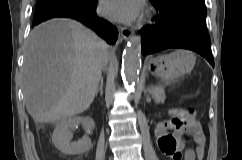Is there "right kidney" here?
<instances>
[{
  "mask_svg": "<svg viewBox=\"0 0 242 160\" xmlns=\"http://www.w3.org/2000/svg\"><path fill=\"white\" fill-rule=\"evenodd\" d=\"M79 124H82L87 131L93 130L95 127L94 120L91 117H73L61 121L56 126L53 135L52 142L58 150L64 154L77 155L88 151L91 148V139L88 135H85L77 142H71L72 133L70 128H75Z\"/></svg>",
  "mask_w": 242,
  "mask_h": 160,
  "instance_id": "obj_1",
  "label": "right kidney"
}]
</instances>
